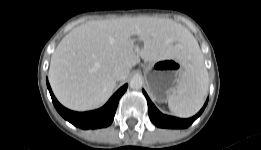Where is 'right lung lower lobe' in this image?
<instances>
[{"instance_id": "98d812e1", "label": "right lung lower lobe", "mask_w": 261, "mask_h": 150, "mask_svg": "<svg viewBox=\"0 0 261 150\" xmlns=\"http://www.w3.org/2000/svg\"><path fill=\"white\" fill-rule=\"evenodd\" d=\"M53 104L62 117L82 129H95L109 126L114 118L120 97L127 89V84L121 87L102 108L90 112H74L64 108L54 97L47 81Z\"/></svg>"}]
</instances>
